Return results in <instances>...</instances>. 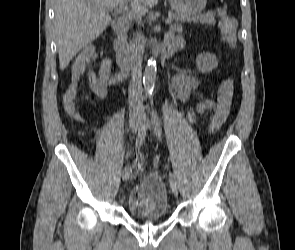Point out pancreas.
Wrapping results in <instances>:
<instances>
[{"label": "pancreas", "instance_id": "1", "mask_svg": "<svg viewBox=\"0 0 295 250\" xmlns=\"http://www.w3.org/2000/svg\"><path fill=\"white\" fill-rule=\"evenodd\" d=\"M169 16L172 17L176 22L178 21H188V22H200L204 24H209V25H215V13L214 12H208L203 15H195L193 17H186L179 15L177 13L169 12Z\"/></svg>", "mask_w": 295, "mask_h": 250}]
</instances>
